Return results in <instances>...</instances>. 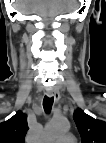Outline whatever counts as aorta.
Instances as JSON below:
<instances>
[{
  "instance_id": "1",
  "label": "aorta",
  "mask_w": 106,
  "mask_h": 143,
  "mask_svg": "<svg viewBox=\"0 0 106 143\" xmlns=\"http://www.w3.org/2000/svg\"><path fill=\"white\" fill-rule=\"evenodd\" d=\"M70 128L66 120H51L45 127L44 137L48 139H56L60 135L66 133Z\"/></svg>"
}]
</instances>
